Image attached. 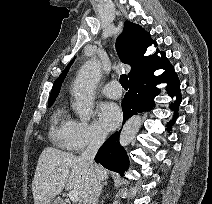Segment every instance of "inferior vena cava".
I'll return each mask as SVG.
<instances>
[{
    "instance_id": "inferior-vena-cava-1",
    "label": "inferior vena cava",
    "mask_w": 212,
    "mask_h": 204,
    "mask_svg": "<svg viewBox=\"0 0 212 204\" xmlns=\"http://www.w3.org/2000/svg\"><path fill=\"white\" fill-rule=\"evenodd\" d=\"M106 133L103 131L95 132L85 151L80 155V159L86 164L88 173L85 182V191L83 196V204H97L101 191V183L97 176V170L94 165V158L106 139Z\"/></svg>"
}]
</instances>
